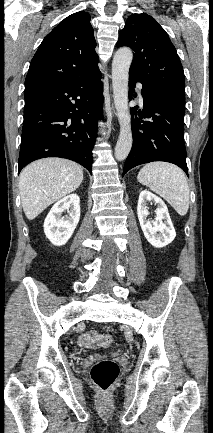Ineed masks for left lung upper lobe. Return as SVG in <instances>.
Masks as SVG:
<instances>
[{
    "label": "left lung upper lobe",
    "instance_id": "1",
    "mask_svg": "<svg viewBox=\"0 0 213 433\" xmlns=\"http://www.w3.org/2000/svg\"><path fill=\"white\" fill-rule=\"evenodd\" d=\"M117 46L133 49L131 74L150 90L185 104L182 64L168 34L154 18L145 13L129 16Z\"/></svg>",
    "mask_w": 213,
    "mask_h": 433
}]
</instances>
